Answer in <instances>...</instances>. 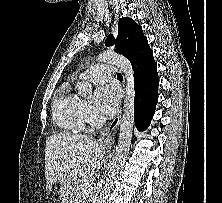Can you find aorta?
Wrapping results in <instances>:
<instances>
[{
	"mask_svg": "<svg viewBox=\"0 0 222 203\" xmlns=\"http://www.w3.org/2000/svg\"><path fill=\"white\" fill-rule=\"evenodd\" d=\"M97 60L98 62L116 65L124 73V78L126 80L123 116L120 124L118 144L115 149V156L108 171L107 178L98 198V203H106L119 171L125 163L131 144L135 100L134 71L130 61L126 57L111 51H106L103 54H100ZM79 90L82 95L88 98L92 96V88L89 83L79 84Z\"/></svg>",
	"mask_w": 222,
	"mask_h": 203,
	"instance_id": "aorta-1",
	"label": "aorta"
}]
</instances>
